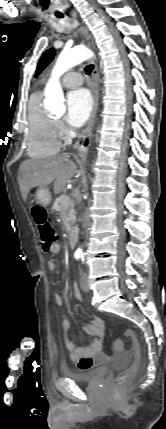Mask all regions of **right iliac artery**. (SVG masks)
<instances>
[{
    "instance_id": "right-iliac-artery-1",
    "label": "right iliac artery",
    "mask_w": 166,
    "mask_h": 429,
    "mask_svg": "<svg viewBox=\"0 0 166 429\" xmlns=\"http://www.w3.org/2000/svg\"><path fill=\"white\" fill-rule=\"evenodd\" d=\"M81 257V255H79V254H75V258L76 259H79Z\"/></svg>"
}]
</instances>
